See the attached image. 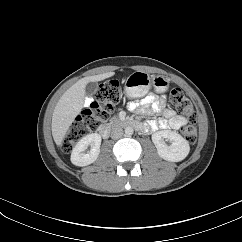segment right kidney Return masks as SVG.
Listing matches in <instances>:
<instances>
[{"label": "right kidney", "instance_id": "right-kidney-1", "mask_svg": "<svg viewBox=\"0 0 242 242\" xmlns=\"http://www.w3.org/2000/svg\"><path fill=\"white\" fill-rule=\"evenodd\" d=\"M100 145L101 136L99 134L92 133L84 136L72 150V164L76 166H87L96 161L100 153ZM88 146H91V149L85 153Z\"/></svg>", "mask_w": 242, "mask_h": 242}]
</instances>
